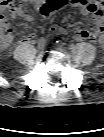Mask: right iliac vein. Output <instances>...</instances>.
Wrapping results in <instances>:
<instances>
[{"label": "right iliac vein", "mask_w": 104, "mask_h": 137, "mask_svg": "<svg viewBox=\"0 0 104 137\" xmlns=\"http://www.w3.org/2000/svg\"><path fill=\"white\" fill-rule=\"evenodd\" d=\"M46 45V42L44 40H41L40 43L38 44L39 49H43Z\"/></svg>", "instance_id": "1"}]
</instances>
